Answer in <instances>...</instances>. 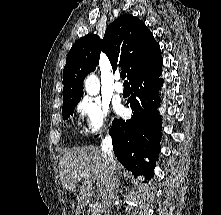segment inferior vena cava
I'll return each instance as SVG.
<instances>
[{"label": "inferior vena cava", "mask_w": 221, "mask_h": 215, "mask_svg": "<svg viewBox=\"0 0 221 215\" xmlns=\"http://www.w3.org/2000/svg\"><path fill=\"white\" fill-rule=\"evenodd\" d=\"M101 149L106 161L110 165V177L108 180L107 189L104 193V197L102 198L104 215H110L112 202L115 198V186L118 183L115 172L116 167L113 157V146L110 137L107 136L102 140Z\"/></svg>", "instance_id": "602c4592"}]
</instances>
